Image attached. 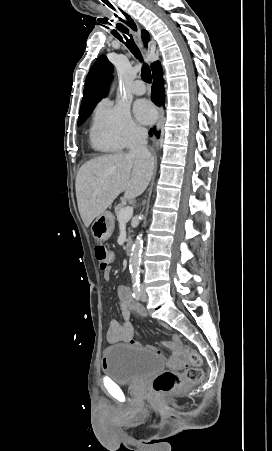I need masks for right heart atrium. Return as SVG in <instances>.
<instances>
[{"label":"right heart atrium","mask_w":272,"mask_h":451,"mask_svg":"<svg viewBox=\"0 0 272 451\" xmlns=\"http://www.w3.org/2000/svg\"><path fill=\"white\" fill-rule=\"evenodd\" d=\"M142 131L127 107L102 101L96 107L93 122L94 140L116 148H126Z\"/></svg>","instance_id":"d8ad5b80"}]
</instances>
